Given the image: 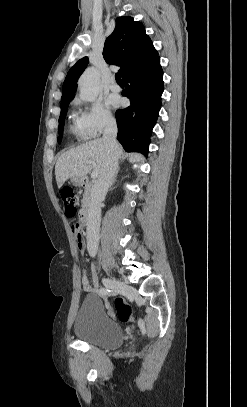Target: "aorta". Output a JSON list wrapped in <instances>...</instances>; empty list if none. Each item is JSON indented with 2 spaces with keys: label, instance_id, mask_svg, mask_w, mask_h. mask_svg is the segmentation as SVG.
I'll return each mask as SVG.
<instances>
[{
  "label": "aorta",
  "instance_id": "aorta-1",
  "mask_svg": "<svg viewBox=\"0 0 247 407\" xmlns=\"http://www.w3.org/2000/svg\"><path fill=\"white\" fill-rule=\"evenodd\" d=\"M79 91L81 99L85 101H94L101 92L100 74L95 68H88L80 77Z\"/></svg>",
  "mask_w": 247,
  "mask_h": 407
}]
</instances>
